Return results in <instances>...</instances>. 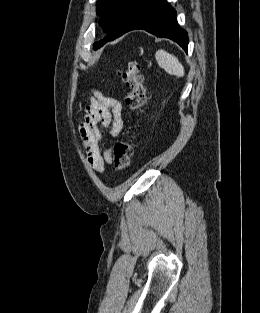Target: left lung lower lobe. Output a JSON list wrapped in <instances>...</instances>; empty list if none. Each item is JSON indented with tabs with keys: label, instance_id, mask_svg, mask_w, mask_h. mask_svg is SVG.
Masks as SVG:
<instances>
[{
	"label": "left lung lower lobe",
	"instance_id": "left-lung-lower-lobe-1",
	"mask_svg": "<svg viewBox=\"0 0 260 313\" xmlns=\"http://www.w3.org/2000/svg\"><path fill=\"white\" fill-rule=\"evenodd\" d=\"M136 29L146 30L157 37L169 38L187 52V32L178 25L176 11L166 0H154L135 18L123 34Z\"/></svg>",
	"mask_w": 260,
	"mask_h": 313
}]
</instances>
